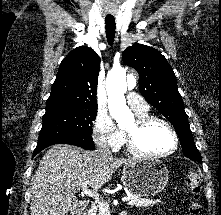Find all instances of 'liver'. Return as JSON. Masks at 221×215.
I'll use <instances>...</instances> for the list:
<instances>
[{"label": "liver", "mask_w": 221, "mask_h": 215, "mask_svg": "<svg viewBox=\"0 0 221 215\" xmlns=\"http://www.w3.org/2000/svg\"><path fill=\"white\" fill-rule=\"evenodd\" d=\"M133 158H114L95 151L57 144L40 160L30 183L31 215H65L78 206L76 192L97 191Z\"/></svg>", "instance_id": "1"}]
</instances>
